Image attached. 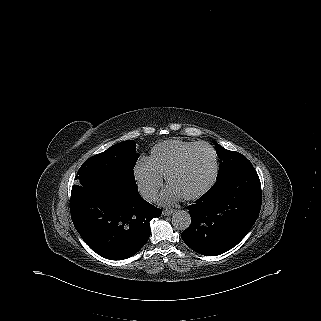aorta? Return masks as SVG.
Returning a JSON list of instances; mask_svg holds the SVG:
<instances>
[{"instance_id":"obj_1","label":"aorta","mask_w":321,"mask_h":321,"mask_svg":"<svg viewBox=\"0 0 321 321\" xmlns=\"http://www.w3.org/2000/svg\"><path fill=\"white\" fill-rule=\"evenodd\" d=\"M191 224L190 214L186 211H176L172 216V225L175 229L184 231Z\"/></svg>"}]
</instances>
